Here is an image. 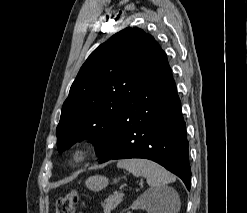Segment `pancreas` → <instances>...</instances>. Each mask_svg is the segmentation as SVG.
Here are the masks:
<instances>
[{"label":"pancreas","mask_w":247,"mask_h":213,"mask_svg":"<svg viewBox=\"0 0 247 213\" xmlns=\"http://www.w3.org/2000/svg\"><path fill=\"white\" fill-rule=\"evenodd\" d=\"M122 200L123 196H120L118 194L108 196V198L101 203L104 209V213H110V211L115 209Z\"/></svg>","instance_id":"1"}]
</instances>
